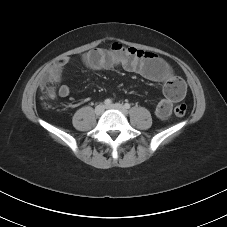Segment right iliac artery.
<instances>
[{
    "instance_id": "obj_1",
    "label": "right iliac artery",
    "mask_w": 227,
    "mask_h": 227,
    "mask_svg": "<svg viewBox=\"0 0 227 227\" xmlns=\"http://www.w3.org/2000/svg\"><path fill=\"white\" fill-rule=\"evenodd\" d=\"M111 103H112L111 99H106V100L104 101V104H105L106 106L111 105Z\"/></svg>"
}]
</instances>
